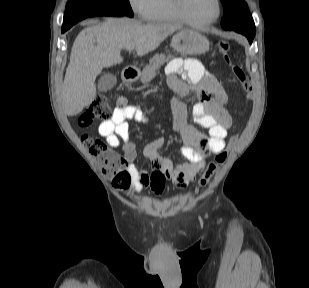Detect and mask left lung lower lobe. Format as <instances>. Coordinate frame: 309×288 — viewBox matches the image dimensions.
<instances>
[{
    "mask_svg": "<svg viewBox=\"0 0 309 288\" xmlns=\"http://www.w3.org/2000/svg\"><path fill=\"white\" fill-rule=\"evenodd\" d=\"M226 30H233L235 32L244 34L248 38L249 43H252L253 38L255 36V24L253 20L243 22L239 25L233 26L230 29H226Z\"/></svg>",
    "mask_w": 309,
    "mask_h": 288,
    "instance_id": "left-lung-lower-lobe-1",
    "label": "left lung lower lobe"
}]
</instances>
